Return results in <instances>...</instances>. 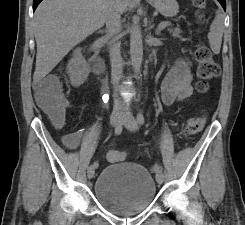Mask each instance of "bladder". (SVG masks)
Returning <instances> with one entry per match:
<instances>
[{"mask_svg":"<svg viewBox=\"0 0 245 225\" xmlns=\"http://www.w3.org/2000/svg\"><path fill=\"white\" fill-rule=\"evenodd\" d=\"M93 196L107 212L128 217L142 213L154 203L157 186L147 168L117 162L99 171Z\"/></svg>","mask_w":245,"mask_h":225,"instance_id":"31cf9c89","label":"bladder"}]
</instances>
